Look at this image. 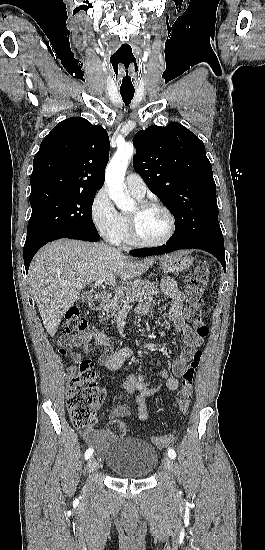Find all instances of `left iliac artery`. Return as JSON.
I'll use <instances>...</instances> for the list:
<instances>
[{"instance_id":"44dca946","label":"left iliac artery","mask_w":265,"mask_h":550,"mask_svg":"<svg viewBox=\"0 0 265 550\" xmlns=\"http://www.w3.org/2000/svg\"><path fill=\"white\" fill-rule=\"evenodd\" d=\"M168 455H169V457H170L171 459H175V457H176V452L174 451V449L170 448V449L168 450Z\"/></svg>"}]
</instances>
